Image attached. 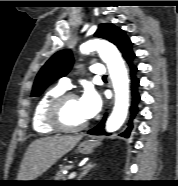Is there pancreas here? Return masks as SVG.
<instances>
[{"mask_svg":"<svg viewBox=\"0 0 178 186\" xmlns=\"http://www.w3.org/2000/svg\"><path fill=\"white\" fill-rule=\"evenodd\" d=\"M72 166L63 167L55 176V181H67V175L63 174L62 171L65 169H70Z\"/></svg>","mask_w":178,"mask_h":186,"instance_id":"obj_1","label":"pancreas"}]
</instances>
